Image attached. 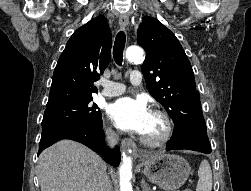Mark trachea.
Wrapping results in <instances>:
<instances>
[{
	"label": "trachea",
	"instance_id": "3493384b",
	"mask_svg": "<svg viewBox=\"0 0 251 191\" xmlns=\"http://www.w3.org/2000/svg\"><path fill=\"white\" fill-rule=\"evenodd\" d=\"M125 42H126L125 32L123 31L118 32L113 47V57L118 65H122Z\"/></svg>",
	"mask_w": 251,
	"mask_h": 191
}]
</instances>
